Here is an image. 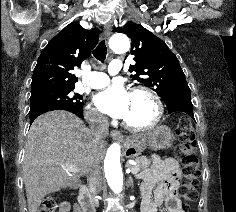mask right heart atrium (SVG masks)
Wrapping results in <instances>:
<instances>
[{
  "label": "right heart atrium",
  "mask_w": 236,
  "mask_h": 212,
  "mask_svg": "<svg viewBox=\"0 0 236 212\" xmlns=\"http://www.w3.org/2000/svg\"><path fill=\"white\" fill-rule=\"evenodd\" d=\"M85 116L91 124L102 126L106 123L105 117L91 104L87 105Z\"/></svg>",
  "instance_id": "obj_1"
}]
</instances>
